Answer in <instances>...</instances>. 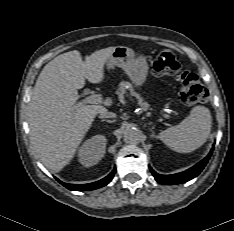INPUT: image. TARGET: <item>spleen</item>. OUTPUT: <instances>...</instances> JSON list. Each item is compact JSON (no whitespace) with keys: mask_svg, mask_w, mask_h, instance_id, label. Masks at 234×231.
Instances as JSON below:
<instances>
[{"mask_svg":"<svg viewBox=\"0 0 234 231\" xmlns=\"http://www.w3.org/2000/svg\"><path fill=\"white\" fill-rule=\"evenodd\" d=\"M211 123L209 109L195 106L179 125L162 131L158 138L176 152L190 153L206 142L211 131Z\"/></svg>","mask_w":234,"mask_h":231,"instance_id":"obj_1","label":"spleen"}]
</instances>
